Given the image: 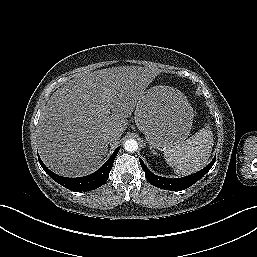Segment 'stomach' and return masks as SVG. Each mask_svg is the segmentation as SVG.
Returning a JSON list of instances; mask_svg holds the SVG:
<instances>
[{
    "label": "stomach",
    "mask_w": 257,
    "mask_h": 257,
    "mask_svg": "<svg viewBox=\"0 0 257 257\" xmlns=\"http://www.w3.org/2000/svg\"><path fill=\"white\" fill-rule=\"evenodd\" d=\"M193 108L186 96L168 86H155L145 91L137 103L135 123L149 145L166 150L183 142L193 123Z\"/></svg>",
    "instance_id": "1"
}]
</instances>
